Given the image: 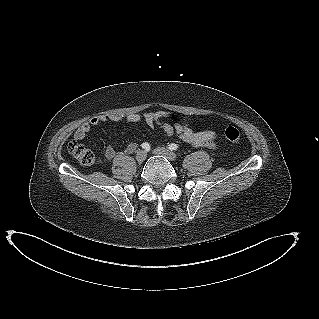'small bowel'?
I'll list each match as a JSON object with an SVG mask.
<instances>
[{"mask_svg": "<svg viewBox=\"0 0 319 319\" xmlns=\"http://www.w3.org/2000/svg\"><path fill=\"white\" fill-rule=\"evenodd\" d=\"M172 112L166 110L149 111L143 114H130L126 117V120L130 123H136L142 119L149 127L158 126L166 135L177 136L183 142L190 144L194 147H207L212 150H216L217 134L212 130L195 132L191 128V123L198 121L195 117H186L183 120L177 122L174 126L161 121L163 118H170ZM119 122L122 120V116L119 114H112L109 116L99 115L91 118L74 132V138L76 140H82L91 131V129L106 121ZM136 143L130 142L123 150V154L129 155L136 150ZM117 155V151L114 147L108 146L103 154L101 160H112Z\"/></svg>", "mask_w": 319, "mask_h": 319, "instance_id": "1", "label": "small bowel"}]
</instances>
